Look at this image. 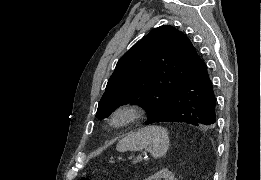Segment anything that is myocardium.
<instances>
[{
    "label": "myocardium",
    "instance_id": "myocardium-1",
    "mask_svg": "<svg viewBox=\"0 0 261 180\" xmlns=\"http://www.w3.org/2000/svg\"><path fill=\"white\" fill-rule=\"evenodd\" d=\"M140 112V107L135 103H121L111 110L110 124L115 128H123L135 122L139 118Z\"/></svg>",
    "mask_w": 261,
    "mask_h": 180
}]
</instances>
